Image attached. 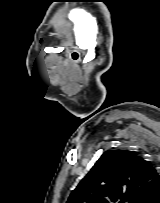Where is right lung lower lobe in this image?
<instances>
[{"label": "right lung lower lobe", "mask_w": 160, "mask_h": 203, "mask_svg": "<svg viewBox=\"0 0 160 203\" xmlns=\"http://www.w3.org/2000/svg\"><path fill=\"white\" fill-rule=\"evenodd\" d=\"M150 203H160V195L155 198L153 201H151Z\"/></svg>", "instance_id": "right-lung-lower-lobe-1"}]
</instances>
